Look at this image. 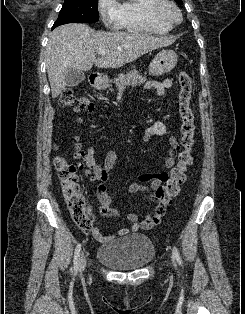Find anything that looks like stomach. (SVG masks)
I'll return each instance as SVG.
<instances>
[{
	"label": "stomach",
	"instance_id": "stomach-1",
	"mask_svg": "<svg viewBox=\"0 0 245 314\" xmlns=\"http://www.w3.org/2000/svg\"><path fill=\"white\" fill-rule=\"evenodd\" d=\"M178 56L173 50H162L152 60L149 66V73L153 76H160L169 73L177 64ZM95 86L104 89L107 85L105 77H100Z\"/></svg>",
	"mask_w": 245,
	"mask_h": 314
}]
</instances>
